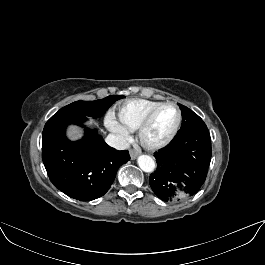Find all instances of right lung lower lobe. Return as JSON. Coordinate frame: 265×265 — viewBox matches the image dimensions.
<instances>
[{
	"mask_svg": "<svg viewBox=\"0 0 265 265\" xmlns=\"http://www.w3.org/2000/svg\"><path fill=\"white\" fill-rule=\"evenodd\" d=\"M86 119V116H52L42 133V160L50 181L80 201L103 196L118 168L130 160L128 151L110 147L96 130L86 128L82 140H68L66 127L69 124L82 126Z\"/></svg>",
	"mask_w": 265,
	"mask_h": 265,
	"instance_id": "98d812e1",
	"label": "right lung lower lobe"
}]
</instances>
